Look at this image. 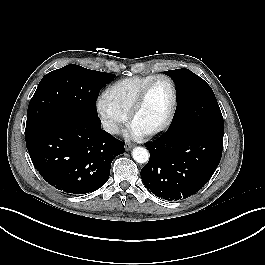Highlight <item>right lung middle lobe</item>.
<instances>
[{
    "label": "right lung middle lobe",
    "instance_id": "dd1d6c3e",
    "mask_svg": "<svg viewBox=\"0 0 265 265\" xmlns=\"http://www.w3.org/2000/svg\"><path fill=\"white\" fill-rule=\"evenodd\" d=\"M114 74L69 64L46 74L27 111L25 132L54 121L65 113L98 116L96 100Z\"/></svg>",
    "mask_w": 265,
    "mask_h": 265
}]
</instances>
